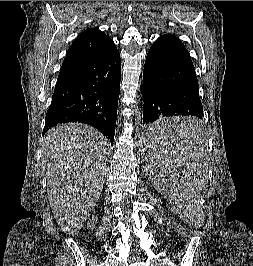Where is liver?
Returning <instances> with one entry per match:
<instances>
[{
    "label": "liver",
    "instance_id": "obj_1",
    "mask_svg": "<svg viewBox=\"0 0 253 266\" xmlns=\"http://www.w3.org/2000/svg\"><path fill=\"white\" fill-rule=\"evenodd\" d=\"M49 202L61 230L76 235L98 201L107 173L109 142L95 128H52L42 145Z\"/></svg>",
    "mask_w": 253,
    "mask_h": 266
}]
</instances>
